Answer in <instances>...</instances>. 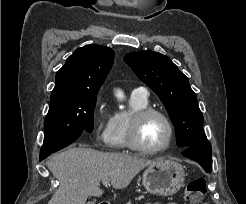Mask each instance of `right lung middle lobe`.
Masks as SVG:
<instances>
[{"instance_id": "1", "label": "right lung middle lobe", "mask_w": 246, "mask_h": 204, "mask_svg": "<svg viewBox=\"0 0 246 204\" xmlns=\"http://www.w3.org/2000/svg\"><path fill=\"white\" fill-rule=\"evenodd\" d=\"M96 100L97 94H93L50 102L40 157L70 145L84 130L92 132Z\"/></svg>"}]
</instances>
